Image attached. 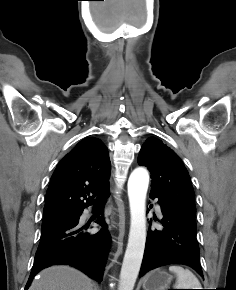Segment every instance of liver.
<instances>
[{
    "mask_svg": "<svg viewBox=\"0 0 236 290\" xmlns=\"http://www.w3.org/2000/svg\"><path fill=\"white\" fill-rule=\"evenodd\" d=\"M29 290H95V284L82 272L58 265L42 270Z\"/></svg>",
    "mask_w": 236,
    "mask_h": 290,
    "instance_id": "6515ba94",
    "label": "liver"
}]
</instances>
